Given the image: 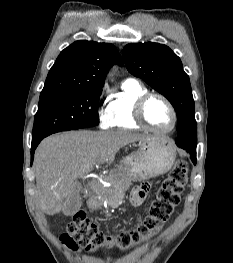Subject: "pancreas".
I'll use <instances>...</instances> for the list:
<instances>
[{"mask_svg":"<svg viewBox=\"0 0 233 263\" xmlns=\"http://www.w3.org/2000/svg\"><path fill=\"white\" fill-rule=\"evenodd\" d=\"M115 183L114 188H101L99 194L101 200L107 202L110 206H117L120 204L123 197V178L121 175L116 176L114 179H111Z\"/></svg>","mask_w":233,"mask_h":263,"instance_id":"cf45deb5","label":"pancreas"}]
</instances>
